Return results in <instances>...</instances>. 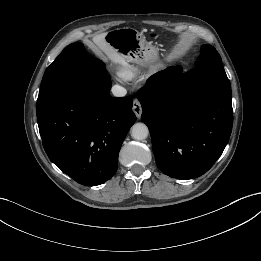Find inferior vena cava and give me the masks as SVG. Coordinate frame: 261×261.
<instances>
[{
    "mask_svg": "<svg viewBox=\"0 0 261 261\" xmlns=\"http://www.w3.org/2000/svg\"><path fill=\"white\" fill-rule=\"evenodd\" d=\"M111 91L115 97H124L127 94V90L119 85H114Z\"/></svg>",
    "mask_w": 261,
    "mask_h": 261,
    "instance_id": "1",
    "label": "inferior vena cava"
}]
</instances>
